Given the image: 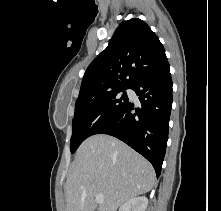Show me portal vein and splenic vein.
<instances>
[{"label":"portal vein and splenic vein","instance_id":"18ae733b","mask_svg":"<svg viewBox=\"0 0 221 211\" xmlns=\"http://www.w3.org/2000/svg\"><path fill=\"white\" fill-rule=\"evenodd\" d=\"M95 200L98 204H102L104 202V197L102 194H97Z\"/></svg>","mask_w":221,"mask_h":211}]
</instances>
